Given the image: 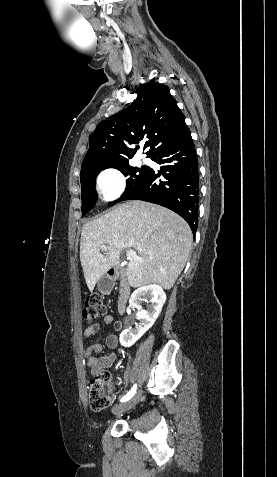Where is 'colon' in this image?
Segmentation results:
<instances>
[{"instance_id": "1", "label": "colon", "mask_w": 277, "mask_h": 477, "mask_svg": "<svg viewBox=\"0 0 277 477\" xmlns=\"http://www.w3.org/2000/svg\"><path fill=\"white\" fill-rule=\"evenodd\" d=\"M105 314V307L97 295L88 297L85 301L82 316L83 320L91 325ZM89 405L94 411H102L108 408L114 400L110 375L101 372L95 376L89 386Z\"/></svg>"}]
</instances>
